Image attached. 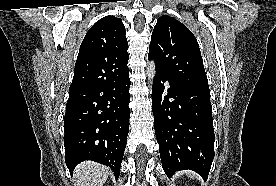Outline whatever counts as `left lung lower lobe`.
Masks as SVG:
<instances>
[{
	"label": "left lung lower lobe",
	"instance_id": "1",
	"mask_svg": "<svg viewBox=\"0 0 276 186\" xmlns=\"http://www.w3.org/2000/svg\"><path fill=\"white\" fill-rule=\"evenodd\" d=\"M154 128L168 177L193 170L207 179L214 158L210 90L156 71L152 88Z\"/></svg>",
	"mask_w": 276,
	"mask_h": 186
}]
</instances>
